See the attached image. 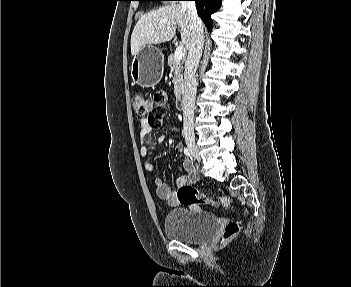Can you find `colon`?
Masks as SVG:
<instances>
[{"label":"colon","instance_id":"colon-1","mask_svg":"<svg viewBox=\"0 0 351 287\" xmlns=\"http://www.w3.org/2000/svg\"><path fill=\"white\" fill-rule=\"evenodd\" d=\"M168 95L165 91H159L153 96L137 93L133 98V105L138 119H145L150 127L158 129L167 113ZM177 199L183 205L194 203L208 204L213 206H231L232 201L226 197L214 196L199 191L190 185H183L177 191ZM240 226L237 222H229L223 232L222 242L226 243L238 232Z\"/></svg>","mask_w":351,"mask_h":287}]
</instances>
